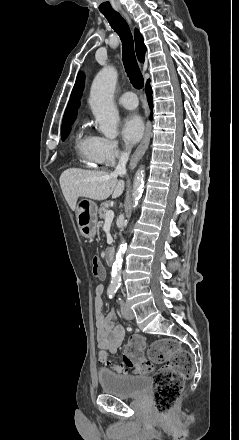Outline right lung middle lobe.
Segmentation results:
<instances>
[{
	"instance_id": "obj_1",
	"label": "right lung middle lobe",
	"mask_w": 239,
	"mask_h": 440,
	"mask_svg": "<svg viewBox=\"0 0 239 440\" xmlns=\"http://www.w3.org/2000/svg\"><path fill=\"white\" fill-rule=\"evenodd\" d=\"M72 124H73V122H71L61 128L62 141H64L67 138V136L69 135Z\"/></svg>"
}]
</instances>
